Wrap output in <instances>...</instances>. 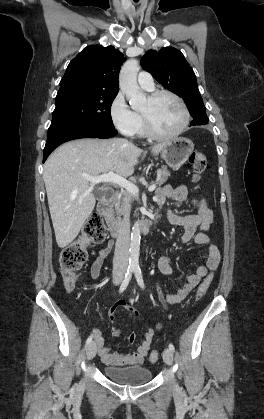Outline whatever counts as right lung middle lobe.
<instances>
[{"instance_id":"right-lung-middle-lobe-1","label":"right lung middle lobe","mask_w":264,"mask_h":419,"mask_svg":"<svg viewBox=\"0 0 264 419\" xmlns=\"http://www.w3.org/2000/svg\"><path fill=\"white\" fill-rule=\"evenodd\" d=\"M116 95L91 90L83 85L60 87L47 140L80 126L114 128L110 108Z\"/></svg>"}]
</instances>
